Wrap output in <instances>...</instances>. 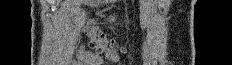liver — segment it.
Masks as SVG:
<instances>
[{"label": "liver", "mask_w": 232, "mask_h": 65, "mask_svg": "<svg viewBox=\"0 0 232 65\" xmlns=\"http://www.w3.org/2000/svg\"><path fill=\"white\" fill-rule=\"evenodd\" d=\"M74 2H76V1H74V0H68L67 1V3H74Z\"/></svg>", "instance_id": "obj_1"}]
</instances>
